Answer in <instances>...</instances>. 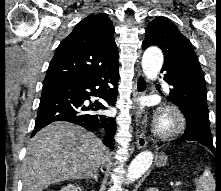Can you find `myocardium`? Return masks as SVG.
Here are the masks:
<instances>
[{
	"instance_id": "1",
	"label": "myocardium",
	"mask_w": 221,
	"mask_h": 191,
	"mask_svg": "<svg viewBox=\"0 0 221 191\" xmlns=\"http://www.w3.org/2000/svg\"><path fill=\"white\" fill-rule=\"evenodd\" d=\"M185 126V118L176 107H166L161 111L156 133L163 138H171L179 134Z\"/></svg>"
}]
</instances>
